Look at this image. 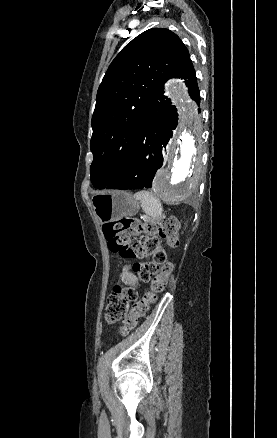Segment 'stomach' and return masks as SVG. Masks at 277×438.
Here are the masks:
<instances>
[{"label":"stomach","instance_id":"obj_1","mask_svg":"<svg viewBox=\"0 0 277 438\" xmlns=\"http://www.w3.org/2000/svg\"><path fill=\"white\" fill-rule=\"evenodd\" d=\"M92 206L99 221L105 224L135 215L139 202L126 191L114 190L94 195Z\"/></svg>","mask_w":277,"mask_h":438}]
</instances>
